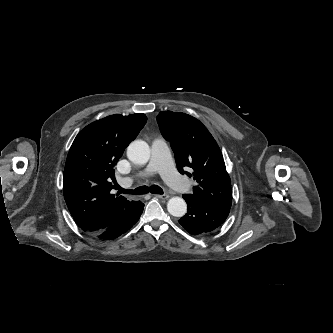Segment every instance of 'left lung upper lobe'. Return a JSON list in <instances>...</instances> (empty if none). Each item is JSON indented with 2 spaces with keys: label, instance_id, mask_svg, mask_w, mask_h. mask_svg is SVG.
<instances>
[{
  "label": "left lung upper lobe",
  "instance_id": "5c2ea615",
  "mask_svg": "<svg viewBox=\"0 0 333 333\" xmlns=\"http://www.w3.org/2000/svg\"><path fill=\"white\" fill-rule=\"evenodd\" d=\"M157 121L162 135L170 142L178 171L197 182L189 195L206 205L230 210L231 180L220 148L208 129L198 119L181 112H160Z\"/></svg>",
  "mask_w": 333,
  "mask_h": 333
}]
</instances>
